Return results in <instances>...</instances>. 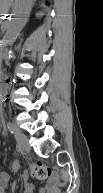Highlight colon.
<instances>
[{
	"mask_svg": "<svg viewBox=\"0 0 103 193\" xmlns=\"http://www.w3.org/2000/svg\"><path fill=\"white\" fill-rule=\"evenodd\" d=\"M30 169L32 176L38 180H48L54 175L50 168L41 162H31Z\"/></svg>",
	"mask_w": 103,
	"mask_h": 193,
	"instance_id": "1",
	"label": "colon"
}]
</instances>
